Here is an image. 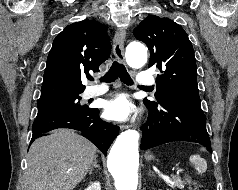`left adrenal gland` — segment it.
I'll return each instance as SVG.
<instances>
[{
  "label": "left adrenal gland",
  "mask_w": 238,
  "mask_h": 190,
  "mask_svg": "<svg viewBox=\"0 0 238 190\" xmlns=\"http://www.w3.org/2000/svg\"><path fill=\"white\" fill-rule=\"evenodd\" d=\"M149 175H153V172H152V171H149Z\"/></svg>",
  "instance_id": "1"
}]
</instances>
